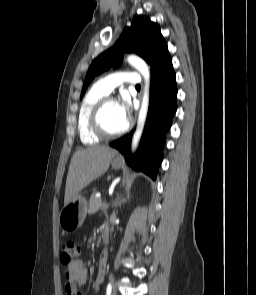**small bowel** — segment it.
<instances>
[{"mask_svg": "<svg viewBox=\"0 0 256 295\" xmlns=\"http://www.w3.org/2000/svg\"><path fill=\"white\" fill-rule=\"evenodd\" d=\"M106 264L107 253L103 252L99 259L97 276L92 284V288L95 291L100 290L102 287L106 272ZM64 277L65 295H81V293L79 292V288L86 283L88 277V270L84 265V262L80 259H77L67 266Z\"/></svg>", "mask_w": 256, "mask_h": 295, "instance_id": "1", "label": "small bowel"}]
</instances>
